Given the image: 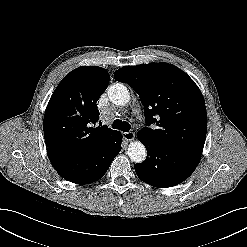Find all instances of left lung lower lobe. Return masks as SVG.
Segmentation results:
<instances>
[{"label":"left lung lower lobe","instance_id":"1","mask_svg":"<svg viewBox=\"0 0 247 247\" xmlns=\"http://www.w3.org/2000/svg\"><path fill=\"white\" fill-rule=\"evenodd\" d=\"M137 137L146 147L148 156L144 162L135 164L136 174L154 187L167 188L183 182L200 162L201 155L160 146L139 132Z\"/></svg>","mask_w":247,"mask_h":247}]
</instances>
